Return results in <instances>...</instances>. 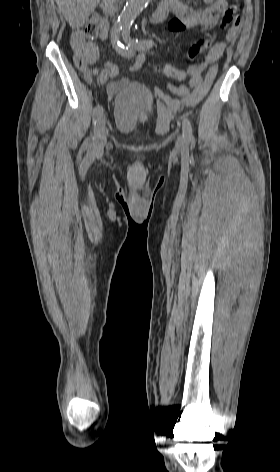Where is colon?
I'll list each match as a JSON object with an SVG mask.
<instances>
[{"mask_svg":"<svg viewBox=\"0 0 280 472\" xmlns=\"http://www.w3.org/2000/svg\"><path fill=\"white\" fill-rule=\"evenodd\" d=\"M239 11L240 6L237 4L229 7L221 19L220 27L226 28L229 25L232 27L239 26L241 22ZM78 32L86 37H95L100 32V23L95 18L90 19L79 28ZM210 36V34H207L206 37L201 38L191 46L188 51V57L190 59H194L202 51V49L208 44ZM75 63L80 69L85 67V63L79 57H75ZM156 69L159 73H162L171 79L182 80L187 77L185 71H182L171 64L159 65Z\"/></svg>","mask_w":280,"mask_h":472,"instance_id":"colon-1","label":"colon"}]
</instances>
